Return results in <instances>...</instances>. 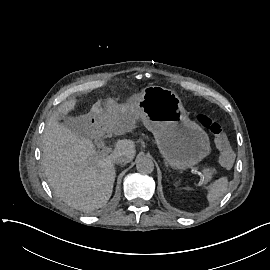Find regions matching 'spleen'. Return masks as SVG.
<instances>
[{"label":"spleen","instance_id":"1","mask_svg":"<svg viewBox=\"0 0 270 270\" xmlns=\"http://www.w3.org/2000/svg\"><path fill=\"white\" fill-rule=\"evenodd\" d=\"M207 199L209 202H213L222 197L228 190L227 177H221L208 186Z\"/></svg>","mask_w":270,"mask_h":270}]
</instances>
